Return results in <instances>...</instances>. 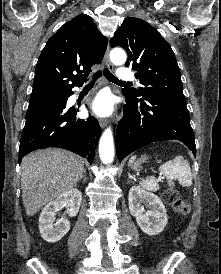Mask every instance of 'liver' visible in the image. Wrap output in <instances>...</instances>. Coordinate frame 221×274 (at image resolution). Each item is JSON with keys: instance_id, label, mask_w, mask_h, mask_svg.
I'll return each instance as SVG.
<instances>
[{"instance_id": "liver-1", "label": "liver", "mask_w": 221, "mask_h": 274, "mask_svg": "<svg viewBox=\"0 0 221 274\" xmlns=\"http://www.w3.org/2000/svg\"><path fill=\"white\" fill-rule=\"evenodd\" d=\"M84 170L82 158L72 152L49 148L25 156L21 163L22 200L28 216L73 189Z\"/></svg>"}]
</instances>
